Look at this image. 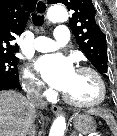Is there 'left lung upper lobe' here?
<instances>
[{"mask_svg": "<svg viewBox=\"0 0 117 136\" xmlns=\"http://www.w3.org/2000/svg\"><path fill=\"white\" fill-rule=\"evenodd\" d=\"M63 3L73 12L70 28L76 41L92 65L107 77L108 57L106 37L95 21V8L91 0H48V3Z\"/></svg>", "mask_w": 117, "mask_h": 136, "instance_id": "left-lung-upper-lobe-1", "label": "left lung upper lobe"}]
</instances>
